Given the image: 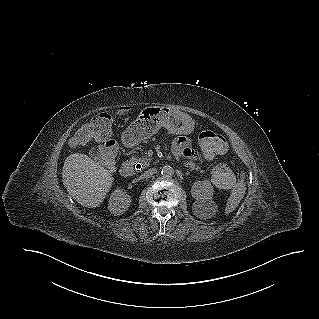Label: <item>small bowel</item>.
Returning <instances> with one entry per match:
<instances>
[{
    "label": "small bowel",
    "instance_id": "1",
    "mask_svg": "<svg viewBox=\"0 0 319 319\" xmlns=\"http://www.w3.org/2000/svg\"><path fill=\"white\" fill-rule=\"evenodd\" d=\"M117 113L121 117H126L130 113V108L126 104H121L117 108ZM173 151L189 159H195V152L190 148V142L186 137H178L174 140Z\"/></svg>",
    "mask_w": 319,
    "mask_h": 319
}]
</instances>
